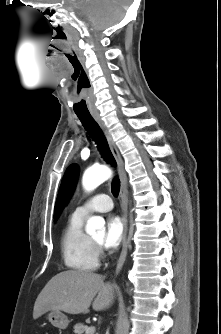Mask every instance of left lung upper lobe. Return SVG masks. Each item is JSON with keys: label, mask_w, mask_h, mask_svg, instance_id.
<instances>
[{"label": "left lung upper lobe", "mask_w": 221, "mask_h": 334, "mask_svg": "<svg viewBox=\"0 0 221 334\" xmlns=\"http://www.w3.org/2000/svg\"><path fill=\"white\" fill-rule=\"evenodd\" d=\"M78 172V166L75 164H72L67 168L60 186L58 198L55 205V218H57L60 211L63 209L65 204L68 202L70 196L72 195L77 181Z\"/></svg>", "instance_id": "1"}]
</instances>
